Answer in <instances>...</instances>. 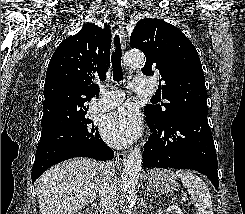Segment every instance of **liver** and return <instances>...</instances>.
Wrapping results in <instances>:
<instances>
[{
  "mask_svg": "<svg viewBox=\"0 0 245 214\" xmlns=\"http://www.w3.org/2000/svg\"><path fill=\"white\" fill-rule=\"evenodd\" d=\"M104 163L72 159L45 171L37 181L41 214H75L96 198Z\"/></svg>",
  "mask_w": 245,
  "mask_h": 214,
  "instance_id": "1",
  "label": "liver"
}]
</instances>
